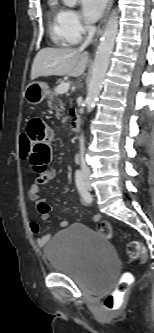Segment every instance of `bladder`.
<instances>
[{
	"label": "bladder",
	"instance_id": "obj_1",
	"mask_svg": "<svg viewBox=\"0 0 154 333\" xmlns=\"http://www.w3.org/2000/svg\"><path fill=\"white\" fill-rule=\"evenodd\" d=\"M43 256L53 271L97 288L109 285L118 265L105 236L83 223L56 232L43 247Z\"/></svg>",
	"mask_w": 154,
	"mask_h": 333
}]
</instances>
